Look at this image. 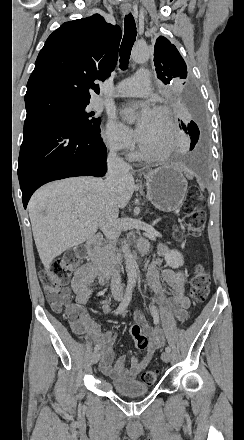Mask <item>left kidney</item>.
<instances>
[{
  "instance_id": "left-kidney-1",
  "label": "left kidney",
  "mask_w": 244,
  "mask_h": 440,
  "mask_svg": "<svg viewBox=\"0 0 244 440\" xmlns=\"http://www.w3.org/2000/svg\"><path fill=\"white\" fill-rule=\"evenodd\" d=\"M165 262L167 266L170 268H179V266H183L184 260L182 254L177 252V250H170L168 254H164Z\"/></svg>"
}]
</instances>
